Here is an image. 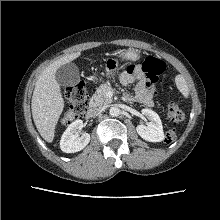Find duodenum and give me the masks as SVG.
Segmentation results:
<instances>
[{"instance_id":"410a0bca","label":"duodenum","mask_w":220,"mask_h":220,"mask_svg":"<svg viewBox=\"0 0 220 220\" xmlns=\"http://www.w3.org/2000/svg\"><path fill=\"white\" fill-rule=\"evenodd\" d=\"M95 113H96V109L94 107H90L87 111L86 118L87 119L93 118Z\"/></svg>"}]
</instances>
